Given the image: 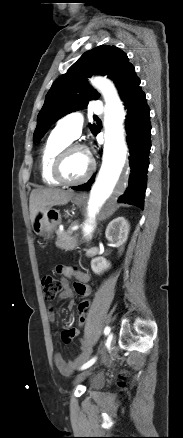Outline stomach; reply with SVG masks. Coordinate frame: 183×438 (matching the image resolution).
I'll return each mask as SVG.
<instances>
[{
  "instance_id": "obj_1",
  "label": "stomach",
  "mask_w": 183,
  "mask_h": 438,
  "mask_svg": "<svg viewBox=\"0 0 183 438\" xmlns=\"http://www.w3.org/2000/svg\"><path fill=\"white\" fill-rule=\"evenodd\" d=\"M72 202L76 205H81L84 202V197L82 195H74ZM60 223L61 214L59 210L47 207L39 212L32 223V228L38 236L44 238V240H50L53 237V232Z\"/></svg>"
}]
</instances>
